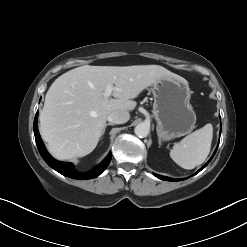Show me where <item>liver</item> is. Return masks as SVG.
<instances>
[{
  "instance_id": "1",
  "label": "liver",
  "mask_w": 247,
  "mask_h": 247,
  "mask_svg": "<svg viewBox=\"0 0 247 247\" xmlns=\"http://www.w3.org/2000/svg\"><path fill=\"white\" fill-rule=\"evenodd\" d=\"M163 76L180 77L159 65L90 66L74 68L50 86L40 112V134L58 160L84 157L98 144L109 114L131 111L133 101ZM114 85L115 98H105Z\"/></svg>"
}]
</instances>
